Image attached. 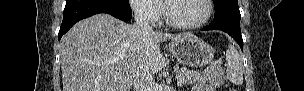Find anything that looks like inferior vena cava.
<instances>
[{
  "label": "inferior vena cava",
  "mask_w": 304,
  "mask_h": 91,
  "mask_svg": "<svg viewBox=\"0 0 304 91\" xmlns=\"http://www.w3.org/2000/svg\"><path fill=\"white\" fill-rule=\"evenodd\" d=\"M135 24L140 29L142 34L152 32V27L148 24L144 9L137 6L134 10ZM134 91H154L155 82L153 73L148 69H140L133 78Z\"/></svg>",
  "instance_id": "1"
}]
</instances>
